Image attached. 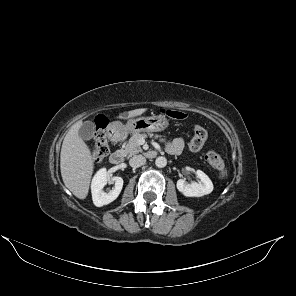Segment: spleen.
<instances>
[{"mask_svg":"<svg viewBox=\"0 0 296 296\" xmlns=\"http://www.w3.org/2000/svg\"><path fill=\"white\" fill-rule=\"evenodd\" d=\"M226 174H227V172H226V171H224V172H221V174H220V178H224V177L226 176Z\"/></svg>","mask_w":296,"mask_h":296,"instance_id":"3e777b00","label":"spleen"}]
</instances>
